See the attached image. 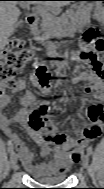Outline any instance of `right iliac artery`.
Listing matches in <instances>:
<instances>
[{"label": "right iliac artery", "mask_w": 104, "mask_h": 189, "mask_svg": "<svg viewBox=\"0 0 104 189\" xmlns=\"http://www.w3.org/2000/svg\"><path fill=\"white\" fill-rule=\"evenodd\" d=\"M8 151L10 154H12L14 152V148L12 146H9Z\"/></svg>", "instance_id": "1"}]
</instances>
